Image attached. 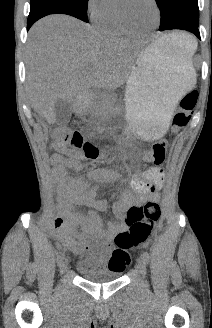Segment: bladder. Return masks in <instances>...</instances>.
I'll return each mask as SVG.
<instances>
[{
	"label": "bladder",
	"instance_id": "obj_1",
	"mask_svg": "<svg viewBox=\"0 0 212 328\" xmlns=\"http://www.w3.org/2000/svg\"><path fill=\"white\" fill-rule=\"evenodd\" d=\"M76 268L85 280L92 283L113 282L122 276V271L104 269L92 259L78 262Z\"/></svg>",
	"mask_w": 212,
	"mask_h": 328
}]
</instances>
